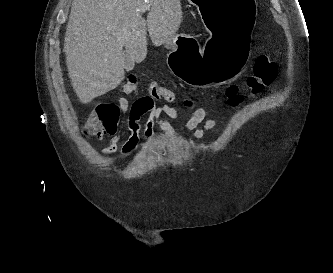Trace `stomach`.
<instances>
[{
  "label": "stomach",
  "instance_id": "stomach-1",
  "mask_svg": "<svg viewBox=\"0 0 333 273\" xmlns=\"http://www.w3.org/2000/svg\"><path fill=\"white\" fill-rule=\"evenodd\" d=\"M201 15L208 32L204 53H197L195 39L184 33L174 35L165 47L171 70L186 84L206 87L212 81H233L241 75L242 65L250 60L251 32L258 23L256 0H188Z\"/></svg>",
  "mask_w": 333,
  "mask_h": 273
}]
</instances>
